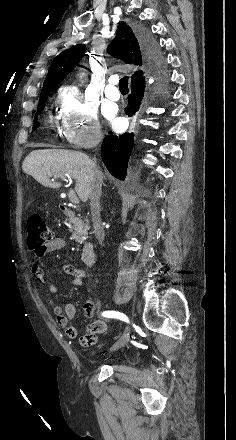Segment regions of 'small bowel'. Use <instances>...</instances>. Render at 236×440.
<instances>
[{"label":"small bowel","mask_w":236,"mask_h":440,"mask_svg":"<svg viewBox=\"0 0 236 440\" xmlns=\"http://www.w3.org/2000/svg\"><path fill=\"white\" fill-rule=\"evenodd\" d=\"M65 246V240L61 237H55L50 242L45 244L43 247L35 250L36 259H41L48 253L56 252L62 250ZM32 273L41 281L46 280V272L41 264L34 262L31 266ZM63 271L72 276V284L74 286H82L85 282L86 275L78 267L74 265H64ZM48 291L51 294H56L59 288L54 283L48 284ZM87 289L90 290L89 284H87ZM51 311L55 315L56 323L61 328H65L68 338L75 339L78 336L77 329L71 325V321L76 314L75 305L72 303H67L64 307L53 301L48 302ZM95 306L92 298L88 297L83 305V312L85 316L91 317L94 314ZM106 328V323L101 320L94 321L89 326V331L87 334L81 337V344L88 346L92 345L97 341V335L104 331Z\"/></svg>","instance_id":"small-bowel-1"}]
</instances>
